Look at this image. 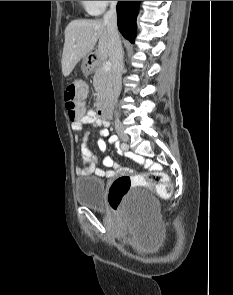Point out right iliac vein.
Masks as SVG:
<instances>
[{
    "label": "right iliac vein",
    "instance_id": "obj_1",
    "mask_svg": "<svg viewBox=\"0 0 233 295\" xmlns=\"http://www.w3.org/2000/svg\"><path fill=\"white\" fill-rule=\"evenodd\" d=\"M116 132L121 140H123L124 142H128L129 137L120 126L116 127ZM126 149L127 148H125V150Z\"/></svg>",
    "mask_w": 233,
    "mask_h": 295
}]
</instances>
